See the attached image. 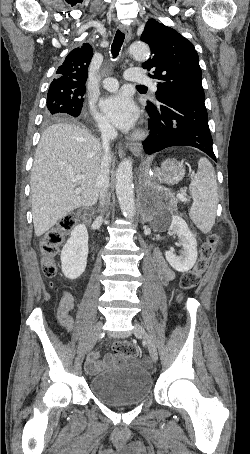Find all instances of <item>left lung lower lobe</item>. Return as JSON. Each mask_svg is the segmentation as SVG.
<instances>
[{
  "label": "left lung lower lobe",
  "instance_id": "1",
  "mask_svg": "<svg viewBox=\"0 0 250 454\" xmlns=\"http://www.w3.org/2000/svg\"><path fill=\"white\" fill-rule=\"evenodd\" d=\"M146 109L151 130L143 142L146 154L170 146H193L216 161L204 99H168Z\"/></svg>",
  "mask_w": 250,
  "mask_h": 454
}]
</instances>
